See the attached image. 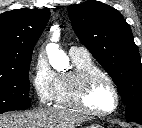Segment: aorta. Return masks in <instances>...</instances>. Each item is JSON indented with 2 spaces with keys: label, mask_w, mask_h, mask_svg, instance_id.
<instances>
[{
  "label": "aorta",
  "mask_w": 142,
  "mask_h": 128,
  "mask_svg": "<svg viewBox=\"0 0 142 128\" xmlns=\"http://www.w3.org/2000/svg\"><path fill=\"white\" fill-rule=\"evenodd\" d=\"M52 32V42L46 46L50 64L57 70H64L69 66V58L63 51L59 50V46L56 43L60 37L59 28L53 27Z\"/></svg>",
  "instance_id": "1"
}]
</instances>
